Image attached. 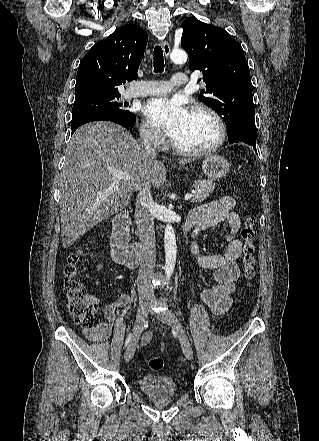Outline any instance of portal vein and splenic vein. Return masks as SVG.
Returning a JSON list of instances; mask_svg holds the SVG:
<instances>
[{"instance_id":"18ae733b","label":"portal vein and splenic vein","mask_w":319,"mask_h":441,"mask_svg":"<svg viewBox=\"0 0 319 441\" xmlns=\"http://www.w3.org/2000/svg\"><path fill=\"white\" fill-rule=\"evenodd\" d=\"M110 173L113 175V177L117 180H124V181H130L133 179L132 175L129 174L126 171H119V170H111ZM191 194L188 193L185 195V201H188L191 198Z\"/></svg>"}]
</instances>
